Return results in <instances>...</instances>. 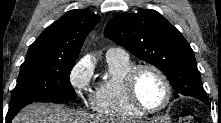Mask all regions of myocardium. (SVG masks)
I'll use <instances>...</instances> for the list:
<instances>
[{"label": "myocardium", "mask_w": 221, "mask_h": 123, "mask_svg": "<svg viewBox=\"0 0 221 123\" xmlns=\"http://www.w3.org/2000/svg\"><path fill=\"white\" fill-rule=\"evenodd\" d=\"M144 70L154 71L164 83L166 95H165L164 101L158 107H155V108L146 107L138 98V95L136 92V81H137L139 74ZM124 89H125V93L129 102L137 110H139L142 113H147V114L157 113L165 109L167 105L170 103V100L172 97V87H171V83L167 75L159 67L153 64H149V63L134 66L129 71V73L126 75L124 79Z\"/></svg>", "instance_id": "obj_1"}]
</instances>
